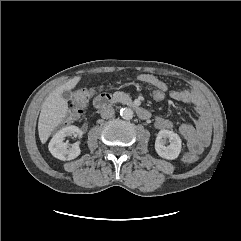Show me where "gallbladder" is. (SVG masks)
Wrapping results in <instances>:
<instances>
[{"label": "gallbladder", "instance_id": "bac80fb5", "mask_svg": "<svg viewBox=\"0 0 241 241\" xmlns=\"http://www.w3.org/2000/svg\"><path fill=\"white\" fill-rule=\"evenodd\" d=\"M62 97L66 100L69 101L72 98V93L68 90L62 92Z\"/></svg>", "mask_w": 241, "mask_h": 241}]
</instances>
